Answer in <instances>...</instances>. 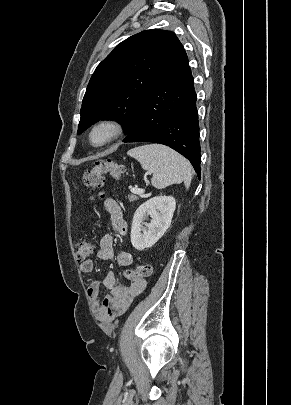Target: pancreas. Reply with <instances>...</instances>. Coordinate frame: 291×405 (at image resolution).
<instances>
[{
	"mask_svg": "<svg viewBox=\"0 0 291 405\" xmlns=\"http://www.w3.org/2000/svg\"><path fill=\"white\" fill-rule=\"evenodd\" d=\"M128 199L130 202H134V201L138 200L139 198H138V196H136L134 194H130V195H128Z\"/></svg>",
	"mask_w": 291,
	"mask_h": 405,
	"instance_id": "cf45deb5",
	"label": "pancreas"
}]
</instances>
